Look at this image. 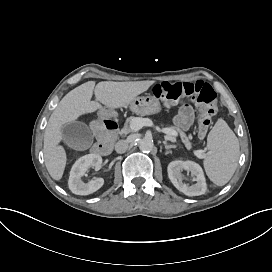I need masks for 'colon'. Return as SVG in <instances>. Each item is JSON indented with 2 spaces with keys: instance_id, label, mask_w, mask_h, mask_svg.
<instances>
[{
  "instance_id": "obj_1",
  "label": "colon",
  "mask_w": 272,
  "mask_h": 272,
  "mask_svg": "<svg viewBox=\"0 0 272 272\" xmlns=\"http://www.w3.org/2000/svg\"><path fill=\"white\" fill-rule=\"evenodd\" d=\"M153 95L157 99L168 102H178L189 99L195 105L204 106L198 113V131L205 135L217 114V94L213 87L202 81L195 82H164L154 87Z\"/></svg>"
}]
</instances>
